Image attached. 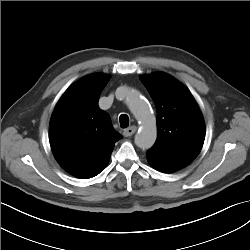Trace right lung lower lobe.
Returning a JSON list of instances; mask_svg holds the SVG:
<instances>
[{
  "instance_id": "98d812e1",
  "label": "right lung lower lobe",
  "mask_w": 250,
  "mask_h": 250,
  "mask_svg": "<svg viewBox=\"0 0 250 250\" xmlns=\"http://www.w3.org/2000/svg\"><path fill=\"white\" fill-rule=\"evenodd\" d=\"M104 168H105V167H104ZM104 168H103V169H104ZM103 169H102V170H103ZM102 170H100L97 174H99ZM97 174H96V175H97ZM96 175H95V176H96Z\"/></svg>"
}]
</instances>
